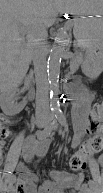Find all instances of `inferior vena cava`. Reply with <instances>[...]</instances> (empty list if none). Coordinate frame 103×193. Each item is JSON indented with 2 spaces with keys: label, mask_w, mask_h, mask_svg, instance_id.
Listing matches in <instances>:
<instances>
[{
  "label": "inferior vena cava",
  "mask_w": 103,
  "mask_h": 193,
  "mask_svg": "<svg viewBox=\"0 0 103 193\" xmlns=\"http://www.w3.org/2000/svg\"><path fill=\"white\" fill-rule=\"evenodd\" d=\"M46 41L40 37L33 39L31 44V55L34 64L36 79V117L44 118L50 116L49 107V83L46 64Z\"/></svg>",
  "instance_id": "1"
}]
</instances>
